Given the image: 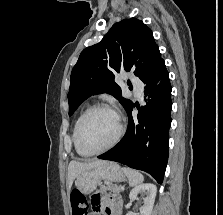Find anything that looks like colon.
Returning a JSON list of instances; mask_svg holds the SVG:
<instances>
[{
  "instance_id": "1",
  "label": "colon",
  "mask_w": 223,
  "mask_h": 215,
  "mask_svg": "<svg viewBox=\"0 0 223 215\" xmlns=\"http://www.w3.org/2000/svg\"><path fill=\"white\" fill-rule=\"evenodd\" d=\"M71 206L73 215H87V202L84 195L77 189L71 193Z\"/></svg>"
}]
</instances>
